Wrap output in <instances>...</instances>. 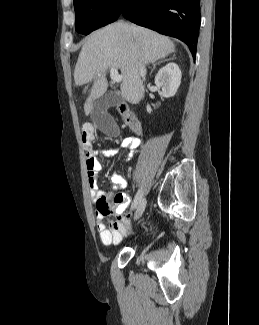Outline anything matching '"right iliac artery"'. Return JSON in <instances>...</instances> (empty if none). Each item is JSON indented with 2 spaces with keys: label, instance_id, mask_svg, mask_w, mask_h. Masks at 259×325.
Here are the masks:
<instances>
[{
  "label": "right iliac artery",
  "instance_id": "obj_1",
  "mask_svg": "<svg viewBox=\"0 0 259 325\" xmlns=\"http://www.w3.org/2000/svg\"><path fill=\"white\" fill-rule=\"evenodd\" d=\"M137 186V194L135 195V198L132 203V209L136 208L141 196H142V185L140 182L136 183Z\"/></svg>",
  "mask_w": 259,
  "mask_h": 325
}]
</instances>
